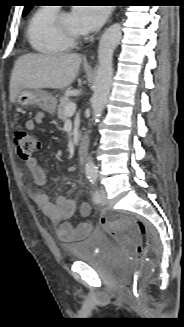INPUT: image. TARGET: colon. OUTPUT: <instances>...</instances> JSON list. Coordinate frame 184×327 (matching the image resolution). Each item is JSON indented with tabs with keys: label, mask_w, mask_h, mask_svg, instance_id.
Returning <instances> with one entry per match:
<instances>
[{
	"label": "colon",
	"mask_w": 184,
	"mask_h": 327,
	"mask_svg": "<svg viewBox=\"0 0 184 327\" xmlns=\"http://www.w3.org/2000/svg\"><path fill=\"white\" fill-rule=\"evenodd\" d=\"M13 143L18 156L23 160L32 158L40 148L38 139L23 129L14 131ZM101 223L122 243L136 246L133 268L126 288L134 299L139 301L144 284L152 270V265L147 258V248L154 242V234L141 218L126 214L105 213L101 217Z\"/></svg>",
	"instance_id": "5ec220e1"
}]
</instances>
